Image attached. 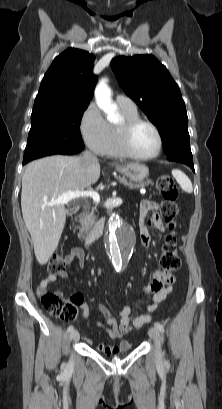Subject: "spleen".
<instances>
[{"label": "spleen", "mask_w": 222, "mask_h": 409, "mask_svg": "<svg viewBox=\"0 0 222 409\" xmlns=\"http://www.w3.org/2000/svg\"><path fill=\"white\" fill-rule=\"evenodd\" d=\"M172 175L179 183L180 187L187 193H191L193 191L192 183L190 179L180 170L173 169Z\"/></svg>", "instance_id": "1"}]
</instances>
